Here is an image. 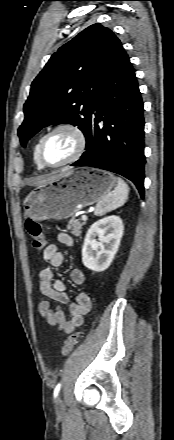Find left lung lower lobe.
Segmentation results:
<instances>
[{
    "mask_svg": "<svg viewBox=\"0 0 174 440\" xmlns=\"http://www.w3.org/2000/svg\"><path fill=\"white\" fill-rule=\"evenodd\" d=\"M86 151L71 166H90L131 180L144 196L143 101L135 70L124 51L91 107Z\"/></svg>",
    "mask_w": 174,
    "mask_h": 440,
    "instance_id": "obj_1",
    "label": "left lung lower lobe"
}]
</instances>
